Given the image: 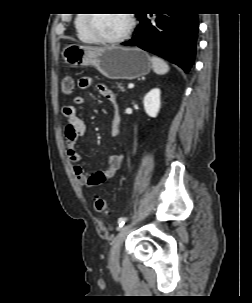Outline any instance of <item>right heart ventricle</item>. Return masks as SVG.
Instances as JSON below:
<instances>
[{
	"label": "right heart ventricle",
	"mask_w": 252,
	"mask_h": 303,
	"mask_svg": "<svg viewBox=\"0 0 252 303\" xmlns=\"http://www.w3.org/2000/svg\"><path fill=\"white\" fill-rule=\"evenodd\" d=\"M75 25L78 30V33L81 37L90 38L91 34L88 30L87 25V17L86 16H78L75 20Z\"/></svg>",
	"instance_id": "right-heart-ventricle-1"
}]
</instances>
